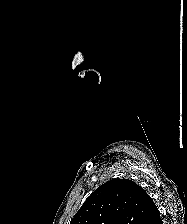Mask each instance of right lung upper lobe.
I'll return each instance as SVG.
<instances>
[{
    "mask_svg": "<svg viewBox=\"0 0 187 224\" xmlns=\"http://www.w3.org/2000/svg\"><path fill=\"white\" fill-rule=\"evenodd\" d=\"M70 224H162V221L142 187L129 179H112L86 199Z\"/></svg>",
    "mask_w": 187,
    "mask_h": 224,
    "instance_id": "cb5924a9",
    "label": "right lung upper lobe"
}]
</instances>
